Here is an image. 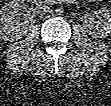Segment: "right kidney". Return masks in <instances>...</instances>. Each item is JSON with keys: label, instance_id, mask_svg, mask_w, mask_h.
I'll return each instance as SVG.
<instances>
[{"label": "right kidney", "instance_id": "obj_1", "mask_svg": "<svg viewBox=\"0 0 111 106\" xmlns=\"http://www.w3.org/2000/svg\"><path fill=\"white\" fill-rule=\"evenodd\" d=\"M26 9V4L20 0L6 3L0 11L1 38L4 40H18L25 35L30 25L34 22L32 17L26 16L21 21L18 17L19 12Z\"/></svg>", "mask_w": 111, "mask_h": 106}]
</instances>
